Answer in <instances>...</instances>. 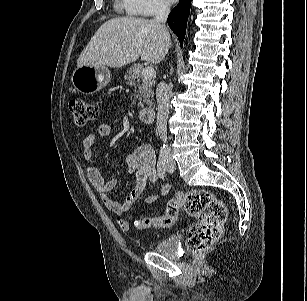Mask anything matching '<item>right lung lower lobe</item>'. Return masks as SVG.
<instances>
[{
    "instance_id": "right-lung-lower-lobe-1",
    "label": "right lung lower lobe",
    "mask_w": 307,
    "mask_h": 301,
    "mask_svg": "<svg viewBox=\"0 0 307 301\" xmlns=\"http://www.w3.org/2000/svg\"><path fill=\"white\" fill-rule=\"evenodd\" d=\"M191 0H181L170 12L167 22L169 27L178 36L181 46L186 32L187 19L190 13Z\"/></svg>"
}]
</instances>
